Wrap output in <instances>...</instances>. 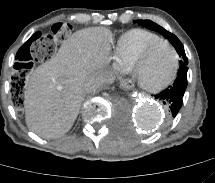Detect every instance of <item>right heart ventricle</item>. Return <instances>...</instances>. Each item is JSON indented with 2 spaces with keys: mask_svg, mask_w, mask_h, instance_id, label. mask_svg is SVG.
I'll return each mask as SVG.
<instances>
[{
  "mask_svg": "<svg viewBox=\"0 0 215 183\" xmlns=\"http://www.w3.org/2000/svg\"><path fill=\"white\" fill-rule=\"evenodd\" d=\"M154 32L135 28L123 33L115 47V56L122 66L129 68L133 59L149 44L160 40Z\"/></svg>",
  "mask_w": 215,
  "mask_h": 183,
  "instance_id": "e07e8e85",
  "label": "right heart ventricle"
}]
</instances>
